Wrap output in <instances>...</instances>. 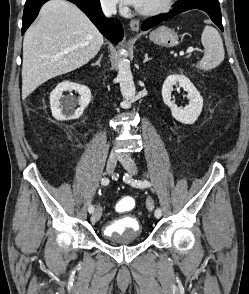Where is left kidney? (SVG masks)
<instances>
[{
    "instance_id": "1",
    "label": "left kidney",
    "mask_w": 249,
    "mask_h": 294,
    "mask_svg": "<svg viewBox=\"0 0 249 294\" xmlns=\"http://www.w3.org/2000/svg\"><path fill=\"white\" fill-rule=\"evenodd\" d=\"M176 84L188 93L189 104L184 108L178 107L171 100V92ZM162 98L164 103L171 109L172 116L183 124H193L198 119L203 108L202 96L189 78L183 74H172L165 79L162 87Z\"/></svg>"
}]
</instances>
